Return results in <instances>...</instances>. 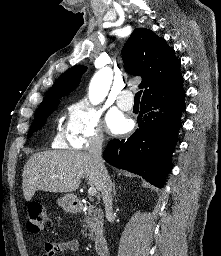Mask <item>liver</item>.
Here are the masks:
<instances>
[{"label": "liver", "mask_w": 221, "mask_h": 256, "mask_svg": "<svg viewBox=\"0 0 221 256\" xmlns=\"http://www.w3.org/2000/svg\"><path fill=\"white\" fill-rule=\"evenodd\" d=\"M23 195L30 201L36 191H76L81 178L100 191V171L93 157L80 151H45L33 154L23 170Z\"/></svg>", "instance_id": "obj_1"}]
</instances>
